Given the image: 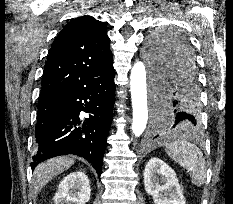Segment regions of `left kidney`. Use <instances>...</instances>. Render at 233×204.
<instances>
[{"label":"left kidney","mask_w":233,"mask_h":204,"mask_svg":"<svg viewBox=\"0 0 233 204\" xmlns=\"http://www.w3.org/2000/svg\"><path fill=\"white\" fill-rule=\"evenodd\" d=\"M144 185L155 204H185L174 170L159 158L150 159L144 170Z\"/></svg>","instance_id":"1"}]
</instances>
